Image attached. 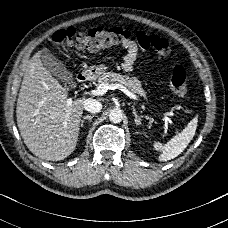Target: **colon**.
Returning a JSON list of instances; mask_svg holds the SVG:
<instances>
[{"label": "colon", "mask_w": 228, "mask_h": 228, "mask_svg": "<svg viewBox=\"0 0 228 228\" xmlns=\"http://www.w3.org/2000/svg\"><path fill=\"white\" fill-rule=\"evenodd\" d=\"M132 32L129 29L117 28L106 30L100 27L88 29L68 28L55 32L51 41L57 45L72 46L79 50L95 52L102 48H113L115 45L129 42ZM150 44L157 50L158 54L165 56L169 52L167 40L152 36ZM186 75L183 68L174 67L170 77L172 89L176 95L183 96L186 93Z\"/></svg>", "instance_id": "5ec220e1"}]
</instances>
